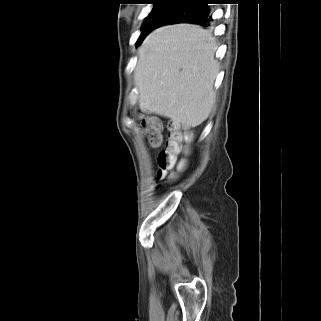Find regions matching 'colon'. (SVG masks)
<instances>
[{
    "label": "colon",
    "instance_id": "obj_1",
    "mask_svg": "<svg viewBox=\"0 0 321 321\" xmlns=\"http://www.w3.org/2000/svg\"><path fill=\"white\" fill-rule=\"evenodd\" d=\"M142 126L149 144L153 147L158 146L161 141L160 121L154 117H143ZM190 138V134L184 131L180 125L176 123L169 125L166 147L158 155L159 178L168 176L169 172L175 168L178 170L185 168V162L180 161L178 156L187 150V143Z\"/></svg>",
    "mask_w": 321,
    "mask_h": 321
}]
</instances>
